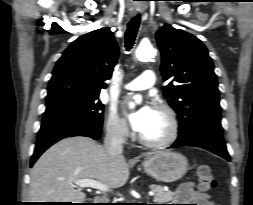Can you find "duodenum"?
Returning <instances> with one entry per match:
<instances>
[{
	"instance_id": "duodenum-1",
	"label": "duodenum",
	"mask_w": 253,
	"mask_h": 205,
	"mask_svg": "<svg viewBox=\"0 0 253 205\" xmlns=\"http://www.w3.org/2000/svg\"><path fill=\"white\" fill-rule=\"evenodd\" d=\"M93 201H94L95 203H97V204H100V203L102 202V199L99 198V197H95V198H93Z\"/></svg>"
}]
</instances>
